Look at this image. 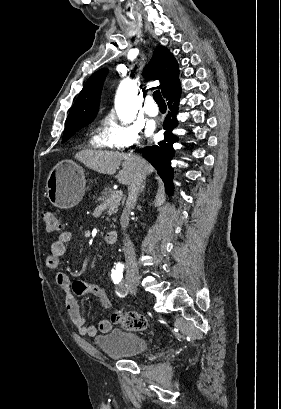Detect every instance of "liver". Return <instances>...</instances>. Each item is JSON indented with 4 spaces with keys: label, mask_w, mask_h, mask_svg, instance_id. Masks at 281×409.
Segmentation results:
<instances>
[{
    "label": "liver",
    "mask_w": 281,
    "mask_h": 409,
    "mask_svg": "<svg viewBox=\"0 0 281 409\" xmlns=\"http://www.w3.org/2000/svg\"><path fill=\"white\" fill-rule=\"evenodd\" d=\"M75 158L83 162L88 168H92L96 172H103V174H115L122 160H124L122 162V170L115 174V178H117L118 182H122V184H130L134 176L133 158L144 160L143 170L145 174H151L154 170L152 164H149L142 156L125 154V152H113V150H90V148H85V150L77 152Z\"/></svg>",
    "instance_id": "liver-1"
}]
</instances>
